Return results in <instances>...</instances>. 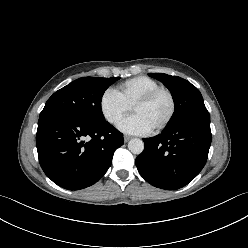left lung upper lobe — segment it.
<instances>
[{
    "label": "left lung upper lobe",
    "instance_id": "left-lung-upper-lobe-1",
    "mask_svg": "<svg viewBox=\"0 0 248 248\" xmlns=\"http://www.w3.org/2000/svg\"><path fill=\"white\" fill-rule=\"evenodd\" d=\"M149 76L161 81L171 92L175 111L165 128H169L199 113L208 112L201 93L189 81L163 73H150Z\"/></svg>",
    "mask_w": 248,
    "mask_h": 248
}]
</instances>
